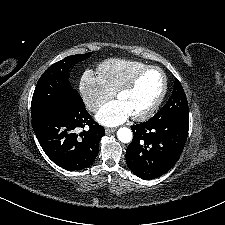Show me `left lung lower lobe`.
Returning a JSON list of instances; mask_svg holds the SVG:
<instances>
[{
  "label": "left lung lower lobe",
  "mask_w": 225,
  "mask_h": 225,
  "mask_svg": "<svg viewBox=\"0 0 225 225\" xmlns=\"http://www.w3.org/2000/svg\"><path fill=\"white\" fill-rule=\"evenodd\" d=\"M185 117L154 119L131 126L134 133L126 150L129 169L142 179H154L168 172L178 161L188 136Z\"/></svg>",
  "instance_id": "obj_1"
}]
</instances>
